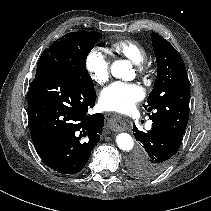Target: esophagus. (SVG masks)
<instances>
[{
  "instance_id": "34e87169",
  "label": "esophagus",
  "mask_w": 211,
  "mask_h": 211,
  "mask_svg": "<svg viewBox=\"0 0 211 211\" xmlns=\"http://www.w3.org/2000/svg\"><path fill=\"white\" fill-rule=\"evenodd\" d=\"M107 127L113 131H120L124 129L125 123L121 116L112 115L107 122Z\"/></svg>"
}]
</instances>
